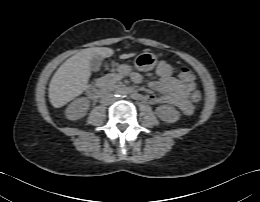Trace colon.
<instances>
[{
    "label": "colon",
    "instance_id": "5ec220e1",
    "mask_svg": "<svg viewBox=\"0 0 260 202\" xmlns=\"http://www.w3.org/2000/svg\"><path fill=\"white\" fill-rule=\"evenodd\" d=\"M178 78L180 79V81L184 82V83H191L195 80V74L193 73V71L187 67H183L180 69L179 73H178ZM191 101L194 104H198L201 102L202 100V94L199 90H194L191 93Z\"/></svg>",
    "mask_w": 260,
    "mask_h": 202
}]
</instances>
